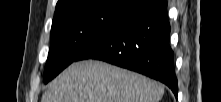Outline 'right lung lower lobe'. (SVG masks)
<instances>
[{
  "mask_svg": "<svg viewBox=\"0 0 221 102\" xmlns=\"http://www.w3.org/2000/svg\"><path fill=\"white\" fill-rule=\"evenodd\" d=\"M166 7L165 0L151 1L94 43L79 60L98 59L144 74L167 85L177 97Z\"/></svg>",
  "mask_w": 221,
  "mask_h": 102,
  "instance_id": "obj_1",
  "label": "right lung lower lobe"
}]
</instances>
